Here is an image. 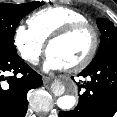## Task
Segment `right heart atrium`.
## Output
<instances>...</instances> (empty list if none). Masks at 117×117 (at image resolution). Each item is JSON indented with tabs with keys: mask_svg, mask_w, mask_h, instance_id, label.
<instances>
[{
	"mask_svg": "<svg viewBox=\"0 0 117 117\" xmlns=\"http://www.w3.org/2000/svg\"><path fill=\"white\" fill-rule=\"evenodd\" d=\"M13 42L21 58L31 65H36L44 53V42L23 25L16 27Z\"/></svg>",
	"mask_w": 117,
	"mask_h": 117,
	"instance_id": "obj_1",
	"label": "right heart atrium"
}]
</instances>
